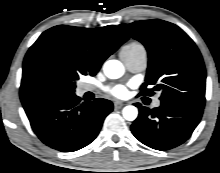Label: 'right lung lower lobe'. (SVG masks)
I'll return each mask as SVG.
<instances>
[{
  "mask_svg": "<svg viewBox=\"0 0 220 173\" xmlns=\"http://www.w3.org/2000/svg\"><path fill=\"white\" fill-rule=\"evenodd\" d=\"M31 127L49 147L70 152L91 143L113 110L106 99L80 102L73 94L42 95L23 103Z\"/></svg>",
  "mask_w": 220,
  "mask_h": 173,
  "instance_id": "obj_1",
  "label": "right lung lower lobe"
}]
</instances>
